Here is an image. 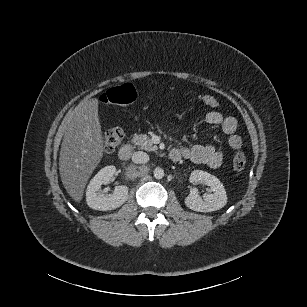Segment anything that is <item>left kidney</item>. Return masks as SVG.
<instances>
[{
    "mask_svg": "<svg viewBox=\"0 0 307 307\" xmlns=\"http://www.w3.org/2000/svg\"><path fill=\"white\" fill-rule=\"evenodd\" d=\"M189 181L193 184H204L210 187L213 194H207L202 199L197 188H192L190 194L185 198L188 208L198 212H211L224 207L227 203V195L222 183L215 176L202 170L191 172Z\"/></svg>",
    "mask_w": 307,
    "mask_h": 307,
    "instance_id": "obj_1",
    "label": "left kidney"
}]
</instances>
